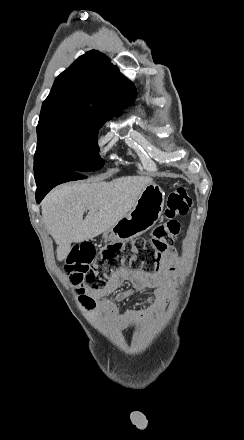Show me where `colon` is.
Returning a JSON list of instances; mask_svg holds the SVG:
<instances>
[{
    "label": "colon",
    "instance_id": "colon-1",
    "mask_svg": "<svg viewBox=\"0 0 244 440\" xmlns=\"http://www.w3.org/2000/svg\"><path fill=\"white\" fill-rule=\"evenodd\" d=\"M190 208L191 198L187 190L183 187L176 188L166 199L164 216L168 221L155 226L148 240L113 242L106 248H101L99 252L91 243L79 248H71L69 252L71 262H65L64 269L70 281L78 286L70 287V292L80 294L77 300L83 303L86 300L85 295L82 294L85 288L90 286L92 292H97L116 270L134 267L146 273H153L157 269V261L180 231V223L174 219L186 216ZM86 273H89V281L84 277ZM89 303L81 304L80 311L89 313L90 318H95L93 305L96 302L92 299Z\"/></svg>",
    "mask_w": 244,
    "mask_h": 440
}]
</instances>
